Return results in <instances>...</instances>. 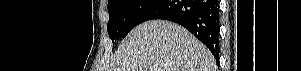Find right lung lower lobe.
Listing matches in <instances>:
<instances>
[{
  "label": "right lung lower lobe",
  "instance_id": "98d812e1",
  "mask_svg": "<svg viewBox=\"0 0 301 71\" xmlns=\"http://www.w3.org/2000/svg\"><path fill=\"white\" fill-rule=\"evenodd\" d=\"M153 19L182 25L209 48L219 63L218 0H157L142 14L139 24Z\"/></svg>",
  "mask_w": 301,
  "mask_h": 71
}]
</instances>
